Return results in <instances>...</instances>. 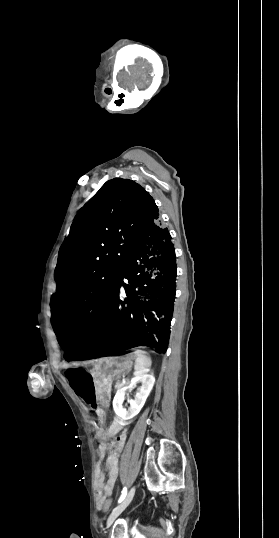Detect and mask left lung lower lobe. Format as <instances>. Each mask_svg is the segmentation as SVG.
Segmentation results:
<instances>
[{"label":"left lung lower lobe","mask_w":279,"mask_h":538,"mask_svg":"<svg viewBox=\"0 0 279 538\" xmlns=\"http://www.w3.org/2000/svg\"><path fill=\"white\" fill-rule=\"evenodd\" d=\"M123 278L129 284L123 283ZM176 280L171 236L156 222L127 258L120 280L94 328L86 335H57L66 360H87L137 346L165 353L170 337ZM124 286L125 300L120 287Z\"/></svg>","instance_id":"0a47b994"}]
</instances>
